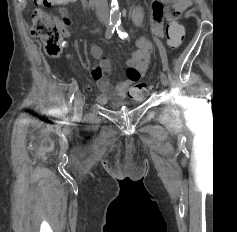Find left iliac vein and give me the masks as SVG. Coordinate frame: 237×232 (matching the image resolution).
<instances>
[{
	"label": "left iliac vein",
	"mask_w": 237,
	"mask_h": 232,
	"mask_svg": "<svg viewBox=\"0 0 237 232\" xmlns=\"http://www.w3.org/2000/svg\"><path fill=\"white\" fill-rule=\"evenodd\" d=\"M160 80H161V83H162L163 86L168 85V77L164 72L161 73Z\"/></svg>",
	"instance_id": "1"
}]
</instances>
